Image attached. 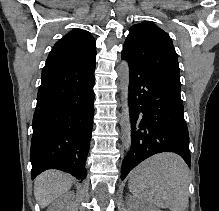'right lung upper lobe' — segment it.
Masks as SVG:
<instances>
[{
    "mask_svg": "<svg viewBox=\"0 0 219 211\" xmlns=\"http://www.w3.org/2000/svg\"><path fill=\"white\" fill-rule=\"evenodd\" d=\"M95 49L93 37L87 31L75 29L54 45L45 66L93 62L96 58Z\"/></svg>",
    "mask_w": 219,
    "mask_h": 211,
    "instance_id": "cb5924a9",
    "label": "right lung upper lobe"
}]
</instances>
